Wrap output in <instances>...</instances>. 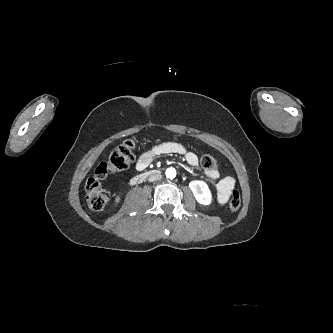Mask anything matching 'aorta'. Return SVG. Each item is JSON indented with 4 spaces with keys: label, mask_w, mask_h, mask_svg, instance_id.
<instances>
[{
    "label": "aorta",
    "mask_w": 333,
    "mask_h": 333,
    "mask_svg": "<svg viewBox=\"0 0 333 333\" xmlns=\"http://www.w3.org/2000/svg\"><path fill=\"white\" fill-rule=\"evenodd\" d=\"M165 174L167 178L174 179L176 177V170L174 168H168Z\"/></svg>",
    "instance_id": "762f6f07"
}]
</instances>
